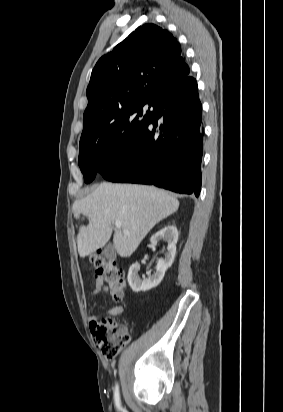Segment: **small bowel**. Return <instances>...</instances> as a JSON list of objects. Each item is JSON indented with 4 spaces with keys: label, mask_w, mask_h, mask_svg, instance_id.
I'll return each mask as SVG.
<instances>
[{
    "label": "small bowel",
    "mask_w": 283,
    "mask_h": 412,
    "mask_svg": "<svg viewBox=\"0 0 283 412\" xmlns=\"http://www.w3.org/2000/svg\"><path fill=\"white\" fill-rule=\"evenodd\" d=\"M105 289H106V287H105L104 281L100 278L96 279L95 282H94L93 289L91 291V297L97 296L101 291H103ZM123 310L124 309H123L122 306H117V307L111 308L109 310V313L110 314H121L123 312ZM97 318L98 317L94 312H92V311L88 312V320H89L90 325L94 321H96Z\"/></svg>",
    "instance_id": "obj_1"
}]
</instances>
